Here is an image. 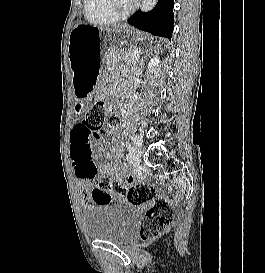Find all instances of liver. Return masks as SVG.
<instances>
[{"label":"liver","mask_w":265,"mask_h":273,"mask_svg":"<svg viewBox=\"0 0 265 273\" xmlns=\"http://www.w3.org/2000/svg\"><path fill=\"white\" fill-rule=\"evenodd\" d=\"M127 27L126 25H118L116 28Z\"/></svg>","instance_id":"6515ba94"}]
</instances>
